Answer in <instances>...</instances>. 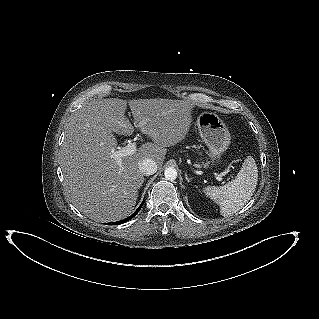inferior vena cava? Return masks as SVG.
I'll list each match as a JSON object with an SVG mask.
<instances>
[{
    "mask_svg": "<svg viewBox=\"0 0 319 319\" xmlns=\"http://www.w3.org/2000/svg\"><path fill=\"white\" fill-rule=\"evenodd\" d=\"M139 170L143 175H152L157 171V164L154 160L145 158L139 163Z\"/></svg>",
    "mask_w": 319,
    "mask_h": 319,
    "instance_id": "1",
    "label": "inferior vena cava"
}]
</instances>
